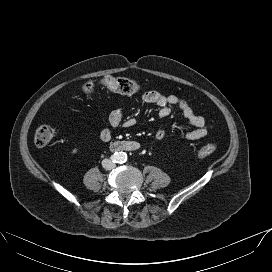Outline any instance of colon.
Segmentation results:
<instances>
[{
	"label": "colon",
	"instance_id": "obj_1",
	"mask_svg": "<svg viewBox=\"0 0 272 272\" xmlns=\"http://www.w3.org/2000/svg\"><path fill=\"white\" fill-rule=\"evenodd\" d=\"M99 83L105 88L118 93L129 95L133 94L140 90V85L137 84L134 80L127 77H115L112 75L104 76ZM96 88V84L92 81L86 82L82 86V91L86 95H91ZM54 131L48 125H40L34 134V143L37 146H46L53 139ZM217 150V145L214 143H208L201 147L197 152L198 158H205L212 155Z\"/></svg>",
	"mask_w": 272,
	"mask_h": 272
}]
</instances>
